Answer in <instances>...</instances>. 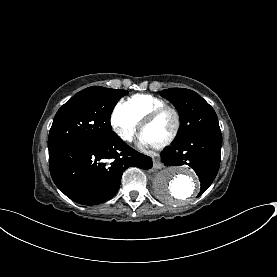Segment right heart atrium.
<instances>
[{
	"label": "right heart atrium",
	"mask_w": 277,
	"mask_h": 277,
	"mask_svg": "<svg viewBox=\"0 0 277 277\" xmlns=\"http://www.w3.org/2000/svg\"><path fill=\"white\" fill-rule=\"evenodd\" d=\"M111 124L117 135L126 142L133 139L139 122L130 114L123 111L121 107L115 109Z\"/></svg>",
	"instance_id": "d8ad5b80"
}]
</instances>
